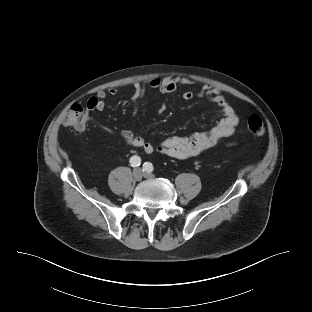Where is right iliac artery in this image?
Wrapping results in <instances>:
<instances>
[{
    "label": "right iliac artery",
    "mask_w": 312,
    "mask_h": 312,
    "mask_svg": "<svg viewBox=\"0 0 312 312\" xmlns=\"http://www.w3.org/2000/svg\"><path fill=\"white\" fill-rule=\"evenodd\" d=\"M129 162H130L131 166L138 167L141 164V158L139 156L134 155L130 158Z\"/></svg>",
    "instance_id": "right-iliac-artery-1"
}]
</instances>
